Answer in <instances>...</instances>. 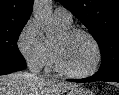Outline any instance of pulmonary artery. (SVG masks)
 <instances>
[{"label": "pulmonary artery", "mask_w": 119, "mask_h": 95, "mask_svg": "<svg viewBox=\"0 0 119 95\" xmlns=\"http://www.w3.org/2000/svg\"><path fill=\"white\" fill-rule=\"evenodd\" d=\"M54 17L58 22L64 25H71L72 23V15L66 8L57 7L54 10Z\"/></svg>", "instance_id": "1"}]
</instances>
